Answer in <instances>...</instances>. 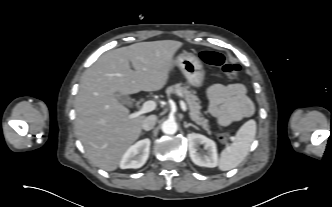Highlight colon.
I'll return each mask as SVG.
<instances>
[{
  "label": "colon",
  "instance_id": "obj_1",
  "mask_svg": "<svg viewBox=\"0 0 332 207\" xmlns=\"http://www.w3.org/2000/svg\"><path fill=\"white\" fill-rule=\"evenodd\" d=\"M200 57L205 63L219 67L230 79H236L239 76L240 66L236 63L229 62L223 53L205 50L200 53ZM218 139L222 143H227L229 136L225 132H220Z\"/></svg>",
  "mask_w": 332,
  "mask_h": 207
}]
</instances>
